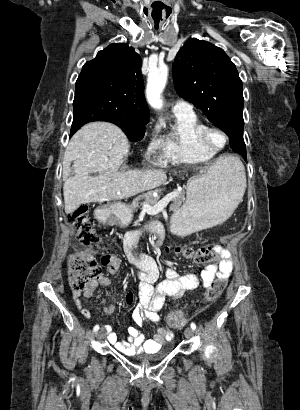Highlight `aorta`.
I'll return each mask as SVG.
<instances>
[{"instance_id":"1","label":"aorta","mask_w":300,"mask_h":410,"mask_svg":"<svg viewBox=\"0 0 300 410\" xmlns=\"http://www.w3.org/2000/svg\"><path fill=\"white\" fill-rule=\"evenodd\" d=\"M167 78L168 67L166 65H161L148 74L146 98L154 109H161L163 107L161 94L166 86Z\"/></svg>"}]
</instances>
